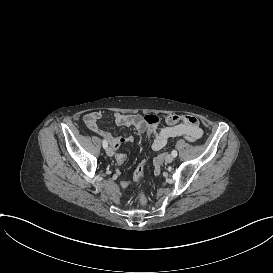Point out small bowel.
I'll return each mask as SVG.
<instances>
[{"label":"small bowel","mask_w":273,"mask_h":273,"mask_svg":"<svg viewBox=\"0 0 273 273\" xmlns=\"http://www.w3.org/2000/svg\"><path fill=\"white\" fill-rule=\"evenodd\" d=\"M103 114L100 112H90L84 116V123L87 128L98 135L104 142H106L115 152V158L118 164H123L126 161V155L119 152L120 148L134 142L133 136L115 137L110 133L104 131L100 127V120ZM113 120L116 125L124 127H134L139 133H146L151 141V147L154 151L162 150L170 139L176 137H184L188 141L194 142L200 139L203 135L198 119L194 116L183 114H172L165 117L166 125L162 128L157 126H148L144 117L140 114H124L114 113ZM167 158L166 152H160L155 156L153 174L159 175L161 169L162 159ZM140 182L141 180H136ZM123 185L125 188L130 189L133 187L134 182L132 179L127 178L124 180Z\"/></svg>","instance_id":"small-bowel-1"}]
</instances>
